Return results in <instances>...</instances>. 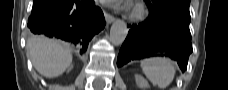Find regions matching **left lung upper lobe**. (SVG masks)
Wrapping results in <instances>:
<instances>
[{"instance_id":"1","label":"left lung upper lobe","mask_w":228,"mask_h":90,"mask_svg":"<svg viewBox=\"0 0 228 90\" xmlns=\"http://www.w3.org/2000/svg\"><path fill=\"white\" fill-rule=\"evenodd\" d=\"M146 3L160 5L170 11H189L190 0H145Z\"/></svg>"}]
</instances>
